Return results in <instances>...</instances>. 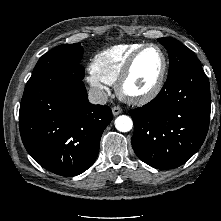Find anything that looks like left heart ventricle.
<instances>
[{"label": "left heart ventricle", "instance_id": "1", "mask_svg": "<svg viewBox=\"0 0 221 221\" xmlns=\"http://www.w3.org/2000/svg\"><path fill=\"white\" fill-rule=\"evenodd\" d=\"M162 65V57L156 48L146 49L136 61L124 89L137 95L148 91L155 83Z\"/></svg>", "mask_w": 221, "mask_h": 221}]
</instances>
